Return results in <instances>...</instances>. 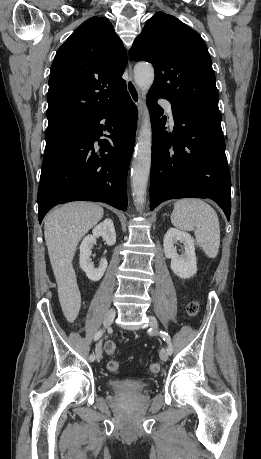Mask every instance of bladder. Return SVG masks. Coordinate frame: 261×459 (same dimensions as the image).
I'll return each mask as SVG.
<instances>
[{
	"label": "bladder",
	"instance_id": "31cf9c89",
	"mask_svg": "<svg viewBox=\"0 0 261 459\" xmlns=\"http://www.w3.org/2000/svg\"><path fill=\"white\" fill-rule=\"evenodd\" d=\"M109 386L116 392L137 393L145 389V384L135 379H112Z\"/></svg>",
	"mask_w": 261,
	"mask_h": 459
}]
</instances>
